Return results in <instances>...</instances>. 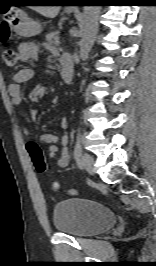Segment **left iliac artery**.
Returning <instances> with one entry per match:
<instances>
[{"mask_svg": "<svg viewBox=\"0 0 156 266\" xmlns=\"http://www.w3.org/2000/svg\"><path fill=\"white\" fill-rule=\"evenodd\" d=\"M81 139H82V136H81L80 128H78L77 139H76V143H75L74 151H73L75 160H79L82 154Z\"/></svg>", "mask_w": 156, "mask_h": 266, "instance_id": "left-iliac-artery-1", "label": "left iliac artery"}]
</instances>
